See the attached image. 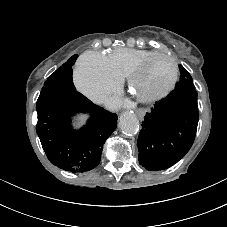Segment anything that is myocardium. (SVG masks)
<instances>
[{
  "instance_id": "f54148a6",
  "label": "myocardium",
  "mask_w": 227,
  "mask_h": 227,
  "mask_svg": "<svg viewBox=\"0 0 227 227\" xmlns=\"http://www.w3.org/2000/svg\"><path fill=\"white\" fill-rule=\"evenodd\" d=\"M161 57L169 59L171 61L172 65H173V75H172L170 82L164 88H162L158 91H154V92H151V93H148V94L136 93V85L138 83L139 78L144 73L146 67L153 60H155L157 58H161ZM178 77H179V67H178V63H177L176 59L172 55H169L167 53L157 52V53H154V54L148 56L144 60H142L130 72V74L128 76V85H129V89L134 93V95L140 101L145 102V103H151V102L158 101V100L162 99L163 97H165L166 95H168L176 86L177 81H178Z\"/></svg>"
}]
</instances>
